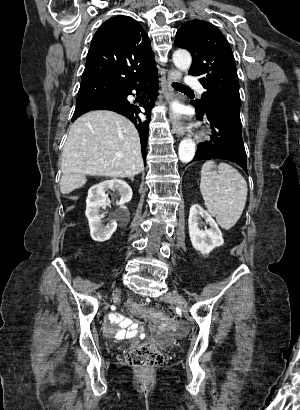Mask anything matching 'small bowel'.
<instances>
[{"label": "small bowel", "mask_w": 300, "mask_h": 410, "mask_svg": "<svg viewBox=\"0 0 300 410\" xmlns=\"http://www.w3.org/2000/svg\"><path fill=\"white\" fill-rule=\"evenodd\" d=\"M165 327L166 325L163 327L157 326L156 329H163ZM137 330L138 326L132 320L125 318L120 314L110 315L109 322L105 326V334L108 336L121 335L128 337L134 335Z\"/></svg>", "instance_id": "1"}]
</instances>
